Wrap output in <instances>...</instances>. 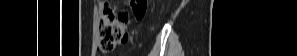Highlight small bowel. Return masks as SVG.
Segmentation results:
<instances>
[{
  "label": "small bowel",
  "instance_id": "small-bowel-1",
  "mask_svg": "<svg viewBox=\"0 0 297 56\" xmlns=\"http://www.w3.org/2000/svg\"><path fill=\"white\" fill-rule=\"evenodd\" d=\"M128 38H131V33H121V36H119V45H128Z\"/></svg>",
  "mask_w": 297,
  "mask_h": 56
}]
</instances>
